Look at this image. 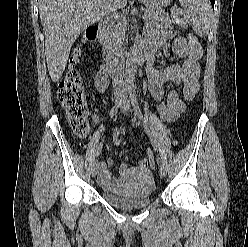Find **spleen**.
<instances>
[{"label":"spleen","mask_w":248,"mask_h":247,"mask_svg":"<svg viewBox=\"0 0 248 247\" xmlns=\"http://www.w3.org/2000/svg\"><path fill=\"white\" fill-rule=\"evenodd\" d=\"M184 8V20L200 37H206L210 29L212 9L209 0H179Z\"/></svg>","instance_id":"obj_1"}]
</instances>
